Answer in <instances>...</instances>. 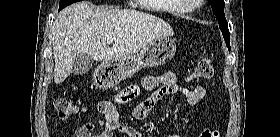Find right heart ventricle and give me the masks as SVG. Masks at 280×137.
<instances>
[{
  "label": "right heart ventricle",
  "mask_w": 280,
  "mask_h": 137,
  "mask_svg": "<svg viewBox=\"0 0 280 137\" xmlns=\"http://www.w3.org/2000/svg\"><path fill=\"white\" fill-rule=\"evenodd\" d=\"M164 2V9L170 15L181 16L188 12V9L182 5L180 0H158Z\"/></svg>",
  "instance_id": "right-heart-ventricle-1"
}]
</instances>
